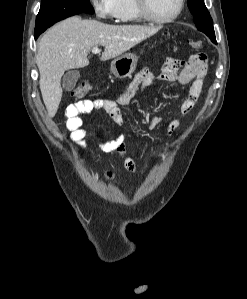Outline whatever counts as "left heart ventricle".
<instances>
[{
	"instance_id": "1",
	"label": "left heart ventricle",
	"mask_w": 247,
	"mask_h": 299,
	"mask_svg": "<svg viewBox=\"0 0 247 299\" xmlns=\"http://www.w3.org/2000/svg\"><path fill=\"white\" fill-rule=\"evenodd\" d=\"M152 16L160 19L172 16L178 7V0H147Z\"/></svg>"
}]
</instances>
